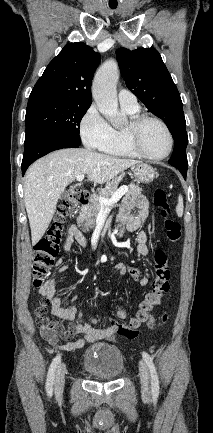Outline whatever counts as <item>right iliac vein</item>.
<instances>
[{"label": "right iliac vein", "mask_w": 213, "mask_h": 433, "mask_svg": "<svg viewBox=\"0 0 213 433\" xmlns=\"http://www.w3.org/2000/svg\"><path fill=\"white\" fill-rule=\"evenodd\" d=\"M67 372V368L65 364H60L54 382L55 394L57 396H61L63 393L64 385H65V374Z\"/></svg>", "instance_id": "obj_1"}]
</instances>
